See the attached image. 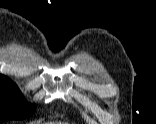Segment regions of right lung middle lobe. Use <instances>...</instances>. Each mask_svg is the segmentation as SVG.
<instances>
[{
  "mask_svg": "<svg viewBox=\"0 0 156 124\" xmlns=\"http://www.w3.org/2000/svg\"><path fill=\"white\" fill-rule=\"evenodd\" d=\"M35 106L27 103L17 85L9 78H0V124L20 120L33 114Z\"/></svg>",
  "mask_w": 156,
  "mask_h": 124,
  "instance_id": "right-lung-middle-lobe-1",
  "label": "right lung middle lobe"
}]
</instances>
